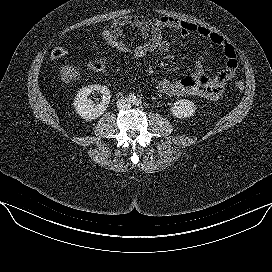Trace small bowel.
<instances>
[{
    "instance_id": "obj_1",
    "label": "small bowel",
    "mask_w": 272,
    "mask_h": 272,
    "mask_svg": "<svg viewBox=\"0 0 272 272\" xmlns=\"http://www.w3.org/2000/svg\"><path fill=\"white\" fill-rule=\"evenodd\" d=\"M126 28L136 29L140 42L151 45L155 54H163L169 50L165 31L170 29L179 31L184 37L198 35L221 48L225 66L219 73L208 75L202 60L197 59L192 74L176 80L163 79L157 83L156 88L163 95L216 100L223 94L227 82L235 76L238 60L234 47L222 35L204 26L167 16L148 21L140 16L127 15L115 20L107 30L123 35Z\"/></svg>"
}]
</instances>
